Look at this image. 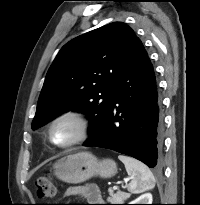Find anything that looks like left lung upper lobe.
I'll use <instances>...</instances> for the list:
<instances>
[{
    "label": "left lung upper lobe",
    "mask_w": 200,
    "mask_h": 205,
    "mask_svg": "<svg viewBox=\"0 0 200 205\" xmlns=\"http://www.w3.org/2000/svg\"><path fill=\"white\" fill-rule=\"evenodd\" d=\"M136 40L129 26L114 22L65 44L46 75L32 128L73 110L87 114V141L94 140L110 109L114 83Z\"/></svg>",
    "instance_id": "obj_1"
}]
</instances>
